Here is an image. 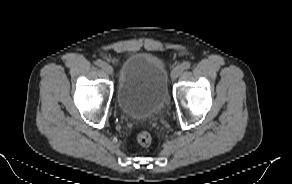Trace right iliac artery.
Returning <instances> with one entry per match:
<instances>
[{
	"label": "right iliac artery",
	"mask_w": 292,
	"mask_h": 184,
	"mask_svg": "<svg viewBox=\"0 0 292 184\" xmlns=\"http://www.w3.org/2000/svg\"><path fill=\"white\" fill-rule=\"evenodd\" d=\"M95 64L99 67H102L104 65V62L101 59L96 60Z\"/></svg>",
	"instance_id": "obj_1"
}]
</instances>
